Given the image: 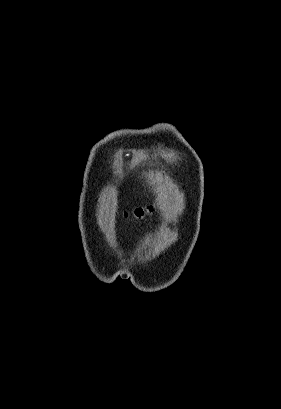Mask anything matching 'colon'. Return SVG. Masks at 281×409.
<instances>
[{
	"mask_svg": "<svg viewBox=\"0 0 281 409\" xmlns=\"http://www.w3.org/2000/svg\"><path fill=\"white\" fill-rule=\"evenodd\" d=\"M139 211H140V212H142V211H143V209H142V208H140V209H139Z\"/></svg>",
	"mask_w": 281,
	"mask_h": 409,
	"instance_id": "5ec220e1",
	"label": "colon"
}]
</instances>
